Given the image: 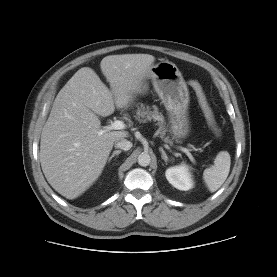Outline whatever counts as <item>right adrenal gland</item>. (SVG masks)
Here are the masks:
<instances>
[{"mask_svg": "<svg viewBox=\"0 0 277 277\" xmlns=\"http://www.w3.org/2000/svg\"><path fill=\"white\" fill-rule=\"evenodd\" d=\"M121 152H122L121 150H115V151H113L112 155L108 159V162H110L113 157L118 156Z\"/></svg>", "mask_w": 277, "mask_h": 277, "instance_id": "1", "label": "right adrenal gland"}]
</instances>
